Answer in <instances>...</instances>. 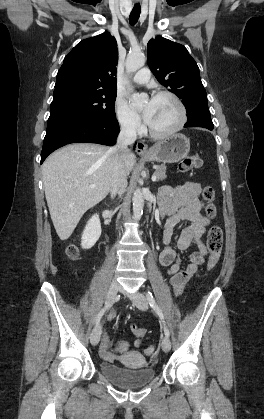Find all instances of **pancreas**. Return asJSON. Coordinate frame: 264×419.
<instances>
[{
	"instance_id": "pancreas-1",
	"label": "pancreas",
	"mask_w": 264,
	"mask_h": 419,
	"mask_svg": "<svg viewBox=\"0 0 264 419\" xmlns=\"http://www.w3.org/2000/svg\"><path fill=\"white\" fill-rule=\"evenodd\" d=\"M155 175L157 176V180H164L166 178V166H158L156 168Z\"/></svg>"
}]
</instances>
